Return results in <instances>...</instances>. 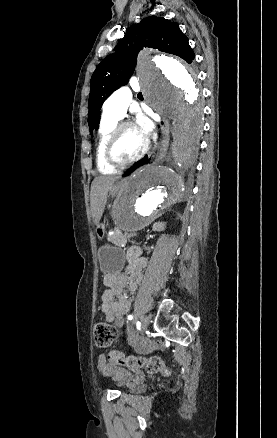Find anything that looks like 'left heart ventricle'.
<instances>
[{"mask_svg": "<svg viewBox=\"0 0 277 438\" xmlns=\"http://www.w3.org/2000/svg\"><path fill=\"white\" fill-rule=\"evenodd\" d=\"M144 141L136 129L128 127L123 130L118 140L115 155L120 160H129L137 156L143 148Z\"/></svg>", "mask_w": 277, "mask_h": 438, "instance_id": "left-heart-ventricle-1", "label": "left heart ventricle"}]
</instances>
